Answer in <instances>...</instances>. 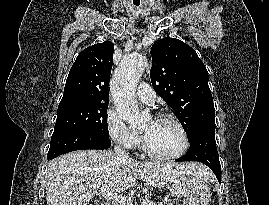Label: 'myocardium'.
I'll use <instances>...</instances> for the list:
<instances>
[{"label": "myocardium", "mask_w": 269, "mask_h": 205, "mask_svg": "<svg viewBox=\"0 0 269 205\" xmlns=\"http://www.w3.org/2000/svg\"><path fill=\"white\" fill-rule=\"evenodd\" d=\"M155 120H167V121L174 123L182 134L183 146L178 152H175L172 154H160V153L153 151L146 143L144 137H142V139H141L142 151L147 156L154 158V159H158V160H173V159L179 158L182 155H184L190 146L189 134H188L187 129L184 126V124L175 115L170 114V113H160L155 117Z\"/></svg>", "instance_id": "f54148a6"}]
</instances>
